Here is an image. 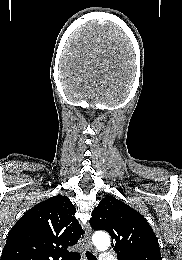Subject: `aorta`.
Masks as SVG:
<instances>
[{
  "label": "aorta",
  "instance_id": "1",
  "mask_svg": "<svg viewBox=\"0 0 182 260\" xmlns=\"http://www.w3.org/2000/svg\"><path fill=\"white\" fill-rule=\"evenodd\" d=\"M92 240L98 250H106L110 246V237L105 232L95 233Z\"/></svg>",
  "mask_w": 182,
  "mask_h": 260
}]
</instances>
